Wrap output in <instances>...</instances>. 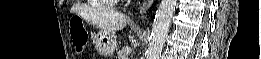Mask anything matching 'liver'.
I'll return each instance as SVG.
<instances>
[{"label": "liver", "mask_w": 261, "mask_h": 59, "mask_svg": "<svg viewBox=\"0 0 261 59\" xmlns=\"http://www.w3.org/2000/svg\"><path fill=\"white\" fill-rule=\"evenodd\" d=\"M91 22L103 32L111 33L122 30L127 24V17L119 12L105 11L96 13L90 18Z\"/></svg>", "instance_id": "liver-1"}]
</instances>
